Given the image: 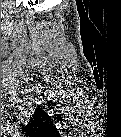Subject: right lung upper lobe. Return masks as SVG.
Segmentation results:
<instances>
[{"instance_id": "obj_1", "label": "right lung upper lobe", "mask_w": 121, "mask_h": 137, "mask_svg": "<svg viewBox=\"0 0 121 137\" xmlns=\"http://www.w3.org/2000/svg\"><path fill=\"white\" fill-rule=\"evenodd\" d=\"M25 132L32 135H44L49 132L56 133V128L47 113L38 107L35 110V115L30 119Z\"/></svg>"}]
</instances>
